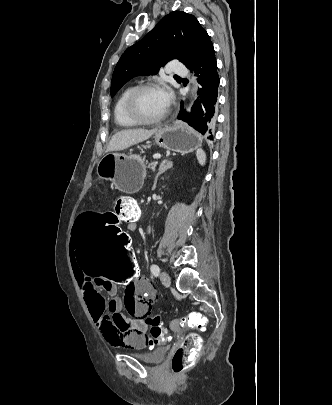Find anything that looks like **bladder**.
Here are the masks:
<instances>
[{
    "label": "bladder",
    "mask_w": 332,
    "mask_h": 405,
    "mask_svg": "<svg viewBox=\"0 0 332 405\" xmlns=\"http://www.w3.org/2000/svg\"><path fill=\"white\" fill-rule=\"evenodd\" d=\"M167 351H168L167 346H160L153 349L150 352L135 353L134 355L144 363L158 364L165 359Z\"/></svg>",
    "instance_id": "1"
}]
</instances>
